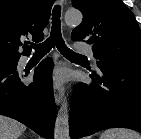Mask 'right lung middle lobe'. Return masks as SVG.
I'll use <instances>...</instances> for the list:
<instances>
[{
  "label": "right lung middle lobe",
  "instance_id": "dd1d6c3e",
  "mask_svg": "<svg viewBox=\"0 0 141 139\" xmlns=\"http://www.w3.org/2000/svg\"><path fill=\"white\" fill-rule=\"evenodd\" d=\"M18 58L0 57V69H10L17 66Z\"/></svg>",
  "mask_w": 141,
  "mask_h": 139
}]
</instances>
